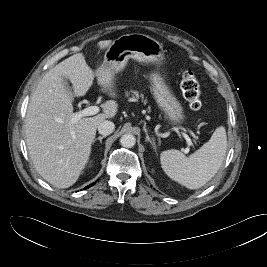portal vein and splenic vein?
<instances>
[{"label": "portal vein and splenic vein", "mask_w": 267, "mask_h": 267, "mask_svg": "<svg viewBox=\"0 0 267 267\" xmlns=\"http://www.w3.org/2000/svg\"><path fill=\"white\" fill-rule=\"evenodd\" d=\"M99 112V107L95 106V105H91L81 111H79L78 113L74 114L73 118H72V123H76L79 119H81L82 117H86V116H92L95 115ZM195 138V134H192ZM189 145H192V142L190 141V139L187 140ZM189 149H185L184 152L188 153Z\"/></svg>", "instance_id": "1"}]
</instances>
